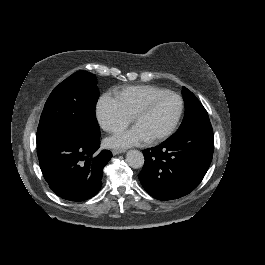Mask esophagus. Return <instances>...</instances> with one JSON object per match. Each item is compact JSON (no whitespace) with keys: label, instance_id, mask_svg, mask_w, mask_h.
I'll list each match as a JSON object with an SVG mask.
<instances>
[{"label":"esophagus","instance_id":"34e87169","mask_svg":"<svg viewBox=\"0 0 265 265\" xmlns=\"http://www.w3.org/2000/svg\"><path fill=\"white\" fill-rule=\"evenodd\" d=\"M126 150L125 149H122V148H115L112 150V153L113 155H118V154H122V153H125Z\"/></svg>","mask_w":265,"mask_h":265}]
</instances>
